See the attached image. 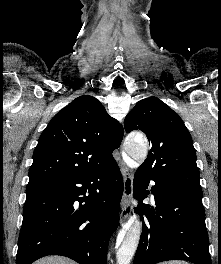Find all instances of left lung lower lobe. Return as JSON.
Returning <instances> with one entry per match:
<instances>
[{"mask_svg":"<svg viewBox=\"0 0 221 264\" xmlns=\"http://www.w3.org/2000/svg\"><path fill=\"white\" fill-rule=\"evenodd\" d=\"M150 180L155 181L151 192L156 207L139 203L142 235L133 264L167 260L211 264L202 193L167 184L138 169L133 182L136 199L142 201L150 193L145 191Z\"/></svg>","mask_w":221,"mask_h":264,"instance_id":"obj_1","label":"left lung lower lobe"}]
</instances>
